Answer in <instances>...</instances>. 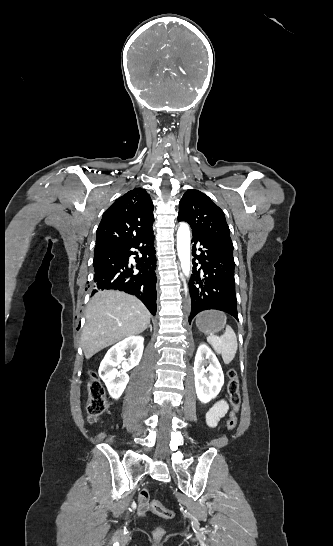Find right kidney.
<instances>
[{
	"label": "right kidney",
	"mask_w": 333,
	"mask_h": 546,
	"mask_svg": "<svg viewBox=\"0 0 333 546\" xmlns=\"http://www.w3.org/2000/svg\"><path fill=\"white\" fill-rule=\"evenodd\" d=\"M143 342L142 336L128 337L110 348L102 360L99 375L113 399H118L124 392L129 381L126 373L139 364L144 349ZM128 348L132 349L131 356L125 360L122 357ZM119 364L122 365L121 373L115 368Z\"/></svg>",
	"instance_id": "ca27d5eb"
}]
</instances>
